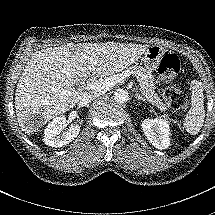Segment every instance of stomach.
Here are the masks:
<instances>
[{
	"mask_svg": "<svg viewBox=\"0 0 215 215\" xmlns=\"http://www.w3.org/2000/svg\"><path fill=\"white\" fill-rule=\"evenodd\" d=\"M165 54V49L160 45L148 46L142 54V64L147 69L154 71L160 66Z\"/></svg>",
	"mask_w": 215,
	"mask_h": 215,
	"instance_id": "0dacf381",
	"label": "stomach"
}]
</instances>
